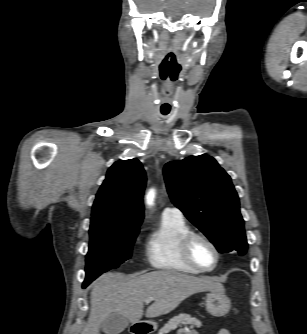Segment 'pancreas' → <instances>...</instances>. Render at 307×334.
Wrapping results in <instances>:
<instances>
[{
	"instance_id": "obj_1",
	"label": "pancreas",
	"mask_w": 307,
	"mask_h": 334,
	"mask_svg": "<svg viewBox=\"0 0 307 334\" xmlns=\"http://www.w3.org/2000/svg\"><path fill=\"white\" fill-rule=\"evenodd\" d=\"M181 325H190L191 328H199L201 327L202 323L197 318L191 317L188 314H180L170 319L168 323L158 331V334H167L170 331L177 329V327Z\"/></svg>"
}]
</instances>
